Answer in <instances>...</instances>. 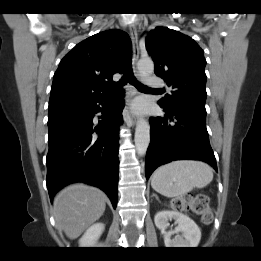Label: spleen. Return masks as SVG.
<instances>
[{
	"label": "spleen",
	"mask_w": 261,
	"mask_h": 261,
	"mask_svg": "<svg viewBox=\"0 0 261 261\" xmlns=\"http://www.w3.org/2000/svg\"><path fill=\"white\" fill-rule=\"evenodd\" d=\"M213 179L212 168L200 161L178 160L159 167L151 180L152 188L168 198L203 188Z\"/></svg>",
	"instance_id": "obj_1"
}]
</instances>
